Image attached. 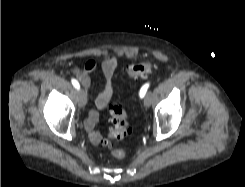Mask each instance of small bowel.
Instances as JSON below:
<instances>
[{
	"label": "small bowel",
	"instance_id": "c3829d8e",
	"mask_svg": "<svg viewBox=\"0 0 245 187\" xmlns=\"http://www.w3.org/2000/svg\"><path fill=\"white\" fill-rule=\"evenodd\" d=\"M119 63L120 61L118 58L110 57L103 60L100 64L95 60H88L83 66H75L70 69V72L76 76L85 88L90 86L89 75L99 68L101 69L103 74V88L95 101L96 107L100 110L105 109L113 97V84L117 78V68ZM97 120V111L90 110L85 125L89 131V138L94 145L104 144L102 136L94 130Z\"/></svg>",
	"mask_w": 245,
	"mask_h": 187
}]
</instances>
